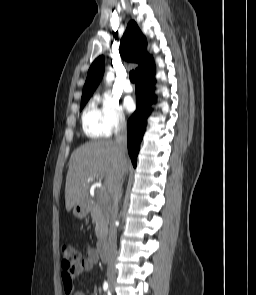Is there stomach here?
<instances>
[{"mask_svg": "<svg viewBox=\"0 0 256 295\" xmlns=\"http://www.w3.org/2000/svg\"><path fill=\"white\" fill-rule=\"evenodd\" d=\"M73 214L75 217H77L79 219L85 218L86 215L88 214V208H87L86 204L85 203L76 204L73 207Z\"/></svg>", "mask_w": 256, "mask_h": 295, "instance_id": "stomach-1", "label": "stomach"}]
</instances>
